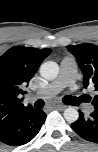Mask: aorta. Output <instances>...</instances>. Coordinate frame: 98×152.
Returning a JSON list of instances; mask_svg holds the SVG:
<instances>
[{"mask_svg":"<svg viewBox=\"0 0 98 152\" xmlns=\"http://www.w3.org/2000/svg\"><path fill=\"white\" fill-rule=\"evenodd\" d=\"M59 74V66L56 62L48 61L40 66V75L46 80H54ZM64 118L68 121H75L78 118V111L69 107L64 111Z\"/></svg>","mask_w":98,"mask_h":152,"instance_id":"1","label":"aorta"}]
</instances>
